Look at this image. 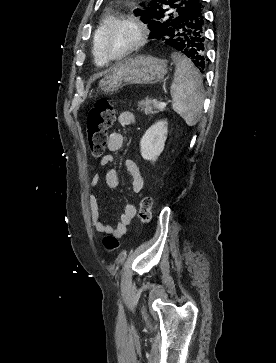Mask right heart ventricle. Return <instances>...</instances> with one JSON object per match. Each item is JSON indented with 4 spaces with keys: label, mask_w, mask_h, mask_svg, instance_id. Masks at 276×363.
I'll list each match as a JSON object with an SVG mask.
<instances>
[{
    "label": "right heart ventricle",
    "mask_w": 276,
    "mask_h": 363,
    "mask_svg": "<svg viewBox=\"0 0 276 363\" xmlns=\"http://www.w3.org/2000/svg\"><path fill=\"white\" fill-rule=\"evenodd\" d=\"M112 19H113V17L110 14H105L100 21V26H99V29L95 36L93 53H94L95 63L97 66H100V67L106 65L107 62L103 59V57L100 53V50H99V35H100L101 31L105 28V26Z\"/></svg>",
    "instance_id": "e07e8e85"
}]
</instances>
